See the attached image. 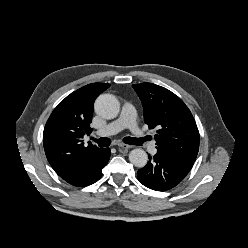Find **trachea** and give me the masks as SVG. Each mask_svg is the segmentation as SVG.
Instances as JSON below:
<instances>
[{"label": "trachea", "mask_w": 248, "mask_h": 248, "mask_svg": "<svg viewBox=\"0 0 248 248\" xmlns=\"http://www.w3.org/2000/svg\"><path fill=\"white\" fill-rule=\"evenodd\" d=\"M92 140L95 141L99 147H108L111 143V140L109 138H106V137H102L99 139L92 138ZM123 141L126 144H130V145H141L143 143L142 140L137 139V138H133V137H125L123 139Z\"/></svg>", "instance_id": "3493384b"}]
</instances>
